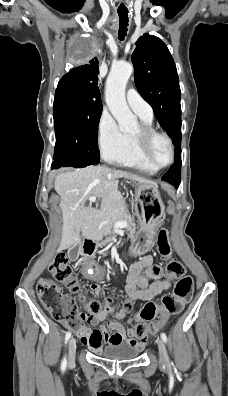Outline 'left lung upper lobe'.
<instances>
[{
    "instance_id": "1",
    "label": "left lung upper lobe",
    "mask_w": 228,
    "mask_h": 396,
    "mask_svg": "<svg viewBox=\"0 0 228 396\" xmlns=\"http://www.w3.org/2000/svg\"><path fill=\"white\" fill-rule=\"evenodd\" d=\"M135 44L131 59L136 87L176 145L181 142V92L174 60L158 37L145 34Z\"/></svg>"
}]
</instances>
